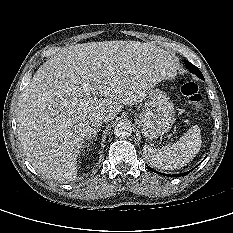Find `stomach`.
Wrapping results in <instances>:
<instances>
[{
    "instance_id": "0dacf381",
    "label": "stomach",
    "mask_w": 233,
    "mask_h": 233,
    "mask_svg": "<svg viewBox=\"0 0 233 233\" xmlns=\"http://www.w3.org/2000/svg\"><path fill=\"white\" fill-rule=\"evenodd\" d=\"M136 123L147 140L167 133L174 123V107L168 95L158 88L148 93L143 112L136 116Z\"/></svg>"
}]
</instances>
